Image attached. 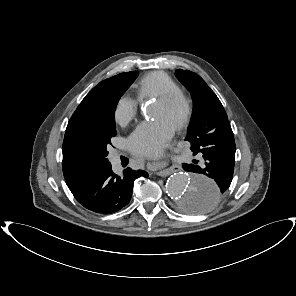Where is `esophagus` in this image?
<instances>
[{"instance_id":"34e87169","label":"esophagus","mask_w":296,"mask_h":296,"mask_svg":"<svg viewBox=\"0 0 296 296\" xmlns=\"http://www.w3.org/2000/svg\"><path fill=\"white\" fill-rule=\"evenodd\" d=\"M148 170L153 175L166 176L173 170L171 169V163L169 164H157L154 162L153 157L148 161Z\"/></svg>"}]
</instances>
